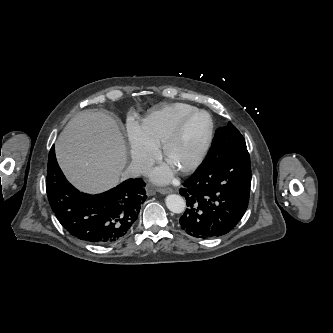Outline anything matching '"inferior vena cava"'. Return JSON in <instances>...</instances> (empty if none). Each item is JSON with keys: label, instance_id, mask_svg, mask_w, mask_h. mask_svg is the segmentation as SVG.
<instances>
[{"label": "inferior vena cava", "instance_id": "602c4592", "mask_svg": "<svg viewBox=\"0 0 333 333\" xmlns=\"http://www.w3.org/2000/svg\"><path fill=\"white\" fill-rule=\"evenodd\" d=\"M148 166L140 161H132L126 171L122 174L123 178H134L146 173Z\"/></svg>", "mask_w": 333, "mask_h": 333}]
</instances>
